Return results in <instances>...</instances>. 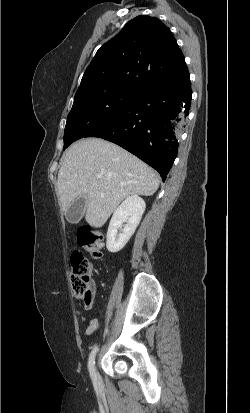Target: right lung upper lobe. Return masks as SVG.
I'll return each instance as SVG.
<instances>
[{
  "mask_svg": "<svg viewBox=\"0 0 250 413\" xmlns=\"http://www.w3.org/2000/svg\"><path fill=\"white\" fill-rule=\"evenodd\" d=\"M189 77L170 29L156 17L141 15L97 51L77 91L102 86L142 91L161 84H182Z\"/></svg>",
  "mask_w": 250,
  "mask_h": 413,
  "instance_id": "cb5924a9",
  "label": "right lung upper lobe"
}]
</instances>
